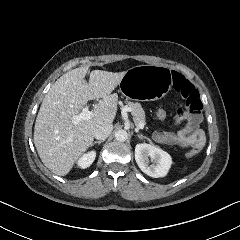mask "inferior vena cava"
Returning a JSON list of instances; mask_svg holds the SVG:
<instances>
[{
    "label": "inferior vena cava",
    "instance_id": "inferior-vena-cava-1",
    "mask_svg": "<svg viewBox=\"0 0 240 240\" xmlns=\"http://www.w3.org/2000/svg\"><path fill=\"white\" fill-rule=\"evenodd\" d=\"M112 129L113 125L111 123L104 124L95 130L94 137L96 139L104 140L111 134Z\"/></svg>",
    "mask_w": 240,
    "mask_h": 240
}]
</instances>
